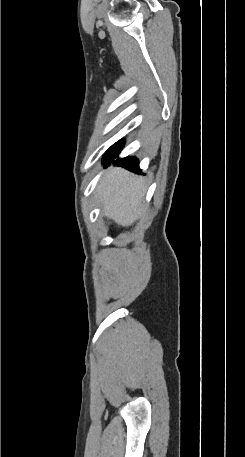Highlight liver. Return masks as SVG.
<instances>
[{
	"mask_svg": "<svg viewBox=\"0 0 245 457\" xmlns=\"http://www.w3.org/2000/svg\"><path fill=\"white\" fill-rule=\"evenodd\" d=\"M96 194L102 202L105 216L114 218L122 226L133 224L142 214L145 194L143 178L125 168L114 166L105 172Z\"/></svg>",
	"mask_w": 245,
	"mask_h": 457,
	"instance_id": "6515ba94",
	"label": "liver"
}]
</instances>
